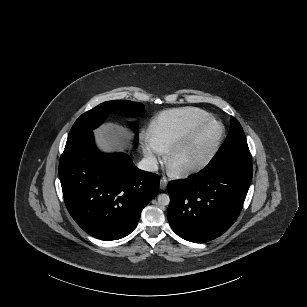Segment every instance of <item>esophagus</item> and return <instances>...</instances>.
Instances as JSON below:
<instances>
[{
  "label": "esophagus",
  "mask_w": 307,
  "mask_h": 307,
  "mask_svg": "<svg viewBox=\"0 0 307 307\" xmlns=\"http://www.w3.org/2000/svg\"><path fill=\"white\" fill-rule=\"evenodd\" d=\"M168 180L166 177H162L160 180V189L165 190L167 187Z\"/></svg>",
  "instance_id": "obj_1"
}]
</instances>
